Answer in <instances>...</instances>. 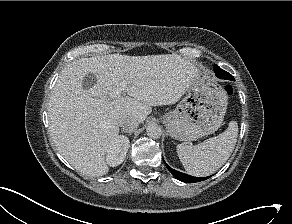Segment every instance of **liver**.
<instances>
[{"label":"liver","instance_id":"6515ba94","mask_svg":"<svg viewBox=\"0 0 292 224\" xmlns=\"http://www.w3.org/2000/svg\"><path fill=\"white\" fill-rule=\"evenodd\" d=\"M198 72L177 54L81 58L60 73L48 104L51 138L57 151L84 175L108 173L105 155L119 136V119L143 123L152 106L176 103ZM92 74L95 84L86 83ZM124 84L128 96H110Z\"/></svg>","mask_w":292,"mask_h":224}]
</instances>
